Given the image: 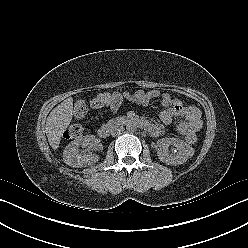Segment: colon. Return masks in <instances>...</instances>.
Listing matches in <instances>:
<instances>
[{"instance_id": "5ec220e1", "label": "colon", "mask_w": 248, "mask_h": 248, "mask_svg": "<svg viewBox=\"0 0 248 248\" xmlns=\"http://www.w3.org/2000/svg\"><path fill=\"white\" fill-rule=\"evenodd\" d=\"M108 102V97L104 94L99 95L97 98H95L91 105L93 107H102L106 105ZM88 112V105L85 100H78L74 104V116L77 119H83L87 115ZM83 134V128L79 124H71L68 129L65 131L64 136L67 139H77L81 137ZM187 143L194 144L197 141L196 135H191L186 139Z\"/></svg>"}]
</instances>
